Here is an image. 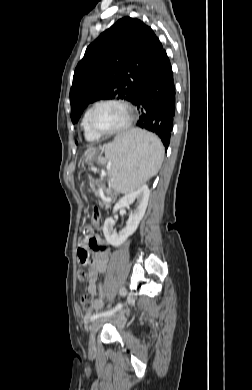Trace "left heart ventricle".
Masks as SVG:
<instances>
[{
  "label": "left heart ventricle",
  "instance_id": "left-heart-ventricle-1",
  "mask_svg": "<svg viewBox=\"0 0 252 390\" xmlns=\"http://www.w3.org/2000/svg\"><path fill=\"white\" fill-rule=\"evenodd\" d=\"M127 119L123 107L117 104H103L93 114L94 126L102 131H110L120 127Z\"/></svg>",
  "mask_w": 252,
  "mask_h": 390
}]
</instances>
